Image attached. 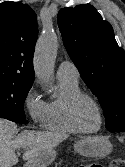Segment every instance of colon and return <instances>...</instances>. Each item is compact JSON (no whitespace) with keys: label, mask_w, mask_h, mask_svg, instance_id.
<instances>
[{"label":"colon","mask_w":125,"mask_h":167,"mask_svg":"<svg viewBox=\"0 0 125 167\" xmlns=\"http://www.w3.org/2000/svg\"><path fill=\"white\" fill-rule=\"evenodd\" d=\"M86 167H91L90 165L86 166ZM111 167H125V159L123 158H116L113 162H112V166Z\"/></svg>","instance_id":"1"}]
</instances>
